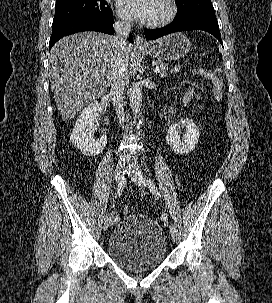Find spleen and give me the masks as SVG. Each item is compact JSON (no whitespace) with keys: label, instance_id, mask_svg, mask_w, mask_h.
Returning <instances> with one entry per match:
<instances>
[{"label":"spleen","instance_id":"obj_1","mask_svg":"<svg viewBox=\"0 0 272 303\" xmlns=\"http://www.w3.org/2000/svg\"><path fill=\"white\" fill-rule=\"evenodd\" d=\"M221 72H222V69H221V68H217V69L215 70V73L220 74Z\"/></svg>","mask_w":272,"mask_h":303}]
</instances>
